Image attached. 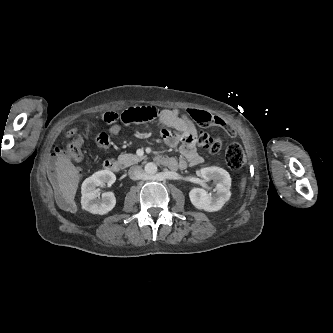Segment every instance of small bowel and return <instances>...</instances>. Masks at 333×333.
Segmentation results:
<instances>
[{
	"instance_id": "small-bowel-1",
	"label": "small bowel",
	"mask_w": 333,
	"mask_h": 333,
	"mask_svg": "<svg viewBox=\"0 0 333 333\" xmlns=\"http://www.w3.org/2000/svg\"><path fill=\"white\" fill-rule=\"evenodd\" d=\"M159 111L158 121L172 129L173 131H165L164 137L165 142L168 146L174 147L179 142L180 153L182 158L176 159L160 155L157 157L158 162L168 166L171 169H185L188 164L199 165L203 163V158L197 151L196 148V133L191 126V120L197 124L205 127L221 126L231 138H237L236 131L227 124L222 118L212 116L210 113L203 110H188L187 115H183L175 110L160 109L155 107ZM122 124H129L125 122ZM121 130V125L115 123L111 128L112 134H118ZM74 161L79 162L81 160V153L78 156L69 155Z\"/></svg>"
}]
</instances>
